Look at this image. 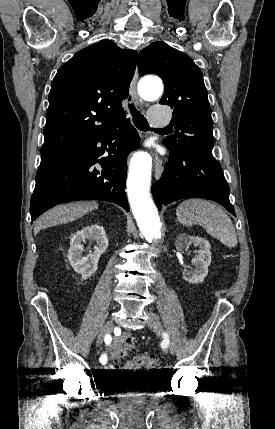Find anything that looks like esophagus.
I'll return each instance as SVG.
<instances>
[{"mask_svg":"<svg viewBox=\"0 0 275 429\" xmlns=\"http://www.w3.org/2000/svg\"><path fill=\"white\" fill-rule=\"evenodd\" d=\"M138 77H139V74H138V70L136 68L134 77H133V79L131 81V85H130V93H131V96H132L134 102L137 105L142 106L143 101L141 100V98L139 97V95L137 93ZM162 173H163L162 159L157 154H155V159H154V175H155V178L158 180L161 177Z\"/></svg>","mask_w":275,"mask_h":429,"instance_id":"1","label":"esophagus"}]
</instances>
